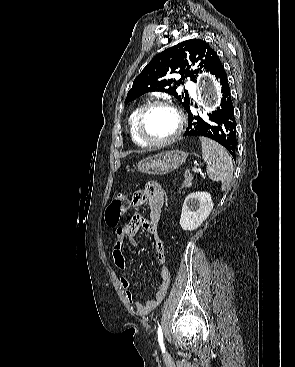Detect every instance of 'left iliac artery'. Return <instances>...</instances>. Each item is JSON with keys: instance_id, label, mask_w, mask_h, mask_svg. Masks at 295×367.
Masks as SVG:
<instances>
[{"instance_id": "1", "label": "left iliac artery", "mask_w": 295, "mask_h": 367, "mask_svg": "<svg viewBox=\"0 0 295 367\" xmlns=\"http://www.w3.org/2000/svg\"><path fill=\"white\" fill-rule=\"evenodd\" d=\"M157 335H158V342L161 346H163V333H162V328L159 325L158 330H157Z\"/></svg>"}]
</instances>
